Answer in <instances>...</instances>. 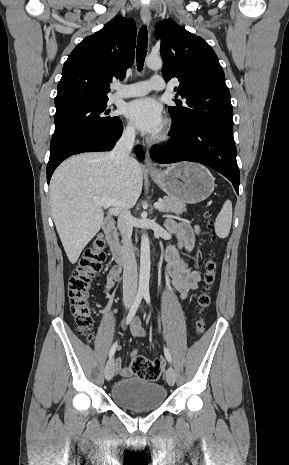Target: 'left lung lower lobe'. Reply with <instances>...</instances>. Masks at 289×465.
Masks as SVG:
<instances>
[{"label":"left lung lower lobe","mask_w":289,"mask_h":465,"mask_svg":"<svg viewBox=\"0 0 289 465\" xmlns=\"http://www.w3.org/2000/svg\"><path fill=\"white\" fill-rule=\"evenodd\" d=\"M170 134L173 138L167 146L150 150L155 162L191 161L205 164L227 177L238 193L240 173L232 128L193 122L184 127L172 125Z\"/></svg>","instance_id":"left-lung-lower-lobe-1"}]
</instances>
